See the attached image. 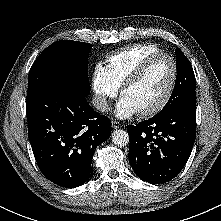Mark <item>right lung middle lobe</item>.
<instances>
[{
    "label": "right lung middle lobe",
    "mask_w": 221,
    "mask_h": 221,
    "mask_svg": "<svg viewBox=\"0 0 221 221\" xmlns=\"http://www.w3.org/2000/svg\"><path fill=\"white\" fill-rule=\"evenodd\" d=\"M89 43L60 40L47 47L32 65L28 76L27 101L40 91L65 87L87 96Z\"/></svg>",
    "instance_id": "1"
}]
</instances>
